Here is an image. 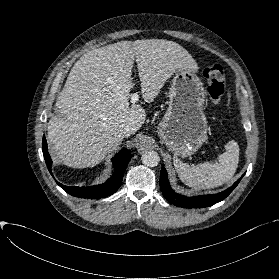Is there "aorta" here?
<instances>
[{
	"label": "aorta",
	"instance_id": "aorta-1",
	"mask_svg": "<svg viewBox=\"0 0 279 279\" xmlns=\"http://www.w3.org/2000/svg\"><path fill=\"white\" fill-rule=\"evenodd\" d=\"M142 163L148 167H155L160 162V157L156 151H146L141 157Z\"/></svg>",
	"mask_w": 279,
	"mask_h": 279
}]
</instances>
